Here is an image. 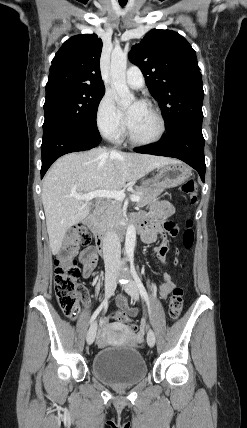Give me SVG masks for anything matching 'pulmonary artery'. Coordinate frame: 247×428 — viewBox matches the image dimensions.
Returning a JSON list of instances; mask_svg holds the SVG:
<instances>
[{"label": "pulmonary artery", "mask_w": 247, "mask_h": 428, "mask_svg": "<svg viewBox=\"0 0 247 428\" xmlns=\"http://www.w3.org/2000/svg\"><path fill=\"white\" fill-rule=\"evenodd\" d=\"M126 83L133 89H141L144 86V77L137 67H130L126 73Z\"/></svg>", "instance_id": "pulmonary-artery-1"}]
</instances>
